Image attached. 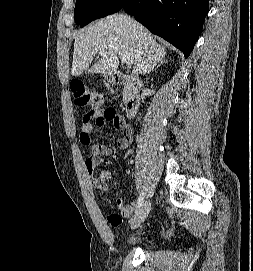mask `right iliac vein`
Listing matches in <instances>:
<instances>
[{
	"label": "right iliac vein",
	"instance_id": "1",
	"mask_svg": "<svg viewBox=\"0 0 253 271\" xmlns=\"http://www.w3.org/2000/svg\"><path fill=\"white\" fill-rule=\"evenodd\" d=\"M151 209V204L148 200H146L141 208L135 213L134 217L131 220V227L137 228L139 227L147 218Z\"/></svg>",
	"mask_w": 253,
	"mask_h": 271
}]
</instances>
